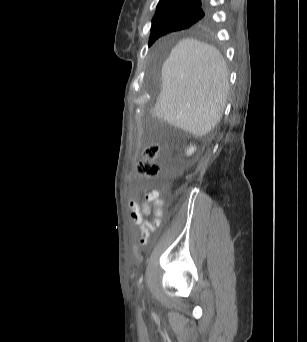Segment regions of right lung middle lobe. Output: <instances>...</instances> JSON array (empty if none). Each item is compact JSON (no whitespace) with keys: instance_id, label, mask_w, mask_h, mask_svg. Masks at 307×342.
<instances>
[{"instance_id":"1","label":"right lung middle lobe","mask_w":307,"mask_h":342,"mask_svg":"<svg viewBox=\"0 0 307 342\" xmlns=\"http://www.w3.org/2000/svg\"><path fill=\"white\" fill-rule=\"evenodd\" d=\"M204 10H173L161 13L152 22L149 46L160 36L181 29H185L197 22Z\"/></svg>"}]
</instances>
